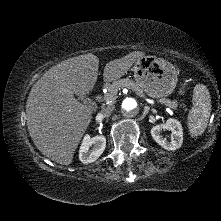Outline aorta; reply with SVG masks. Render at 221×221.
<instances>
[{"mask_svg":"<svg viewBox=\"0 0 221 221\" xmlns=\"http://www.w3.org/2000/svg\"><path fill=\"white\" fill-rule=\"evenodd\" d=\"M139 109L138 101L132 97L125 98L120 105V110L126 117H135L139 113Z\"/></svg>","mask_w":221,"mask_h":221,"instance_id":"762f6f07","label":"aorta"}]
</instances>
